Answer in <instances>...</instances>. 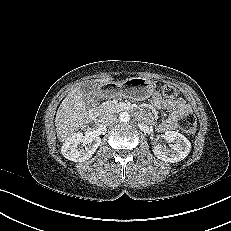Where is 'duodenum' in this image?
I'll return each instance as SVG.
<instances>
[{"mask_svg":"<svg viewBox=\"0 0 231 231\" xmlns=\"http://www.w3.org/2000/svg\"><path fill=\"white\" fill-rule=\"evenodd\" d=\"M124 109H128V106H124ZM96 116H97V110L95 108V100H92L90 109H89V119L95 120Z\"/></svg>","mask_w":231,"mask_h":231,"instance_id":"1","label":"duodenum"}]
</instances>
